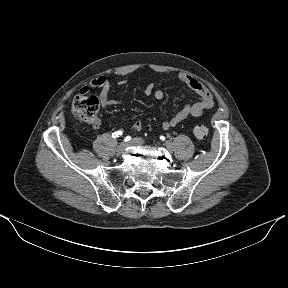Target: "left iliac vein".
Here are the masks:
<instances>
[{
  "label": "left iliac vein",
  "mask_w": 288,
  "mask_h": 288,
  "mask_svg": "<svg viewBox=\"0 0 288 288\" xmlns=\"http://www.w3.org/2000/svg\"><path fill=\"white\" fill-rule=\"evenodd\" d=\"M166 147H167V149H168L169 151H172V143L167 142V143H166Z\"/></svg>",
  "instance_id": "left-iliac-vein-1"
}]
</instances>
